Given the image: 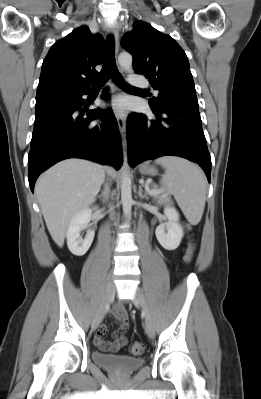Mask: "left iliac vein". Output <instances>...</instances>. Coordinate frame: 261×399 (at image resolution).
<instances>
[{
  "instance_id": "left-iliac-vein-1",
  "label": "left iliac vein",
  "mask_w": 261,
  "mask_h": 399,
  "mask_svg": "<svg viewBox=\"0 0 261 399\" xmlns=\"http://www.w3.org/2000/svg\"><path fill=\"white\" fill-rule=\"evenodd\" d=\"M132 301L135 306L142 308L143 313L145 315L146 333L150 338H153L155 335L154 321H153L151 312L149 310V306L147 304L146 298L140 289H136V292H135V295H134Z\"/></svg>"
}]
</instances>
